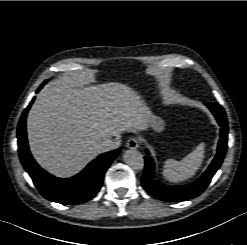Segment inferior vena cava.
<instances>
[{
    "label": "inferior vena cava",
    "mask_w": 247,
    "mask_h": 245,
    "mask_svg": "<svg viewBox=\"0 0 247 245\" xmlns=\"http://www.w3.org/2000/svg\"><path fill=\"white\" fill-rule=\"evenodd\" d=\"M117 146H118V140H114L111 138H107L102 142V147L103 150L105 151L115 149Z\"/></svg>",
    "instance_id": "602c4592"
}]
</instances>
